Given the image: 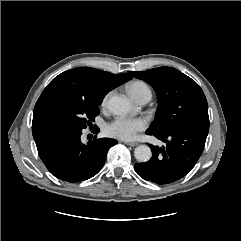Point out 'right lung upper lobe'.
Segmentation results:
<instances>
[{
    "label": "right lung upper lobe",
    "mask_w": 241,
    "mask_h": 241,
    "mask_svg": "<svg viewBox=\"0 0 241 241\" xmlns=\"http://www.w3.org/2000/svg\"><path fill=\"white\" fill-rule=\"evenodd\" d=\"M131 78L128 74H112L95 68L79 67L55 77L41 95L64 91L82 98H104L109 91Z\"/></svg>",
    "instance_id": "1"
}]
</instances>
